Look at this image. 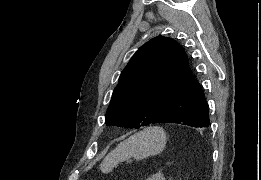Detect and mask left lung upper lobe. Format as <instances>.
<instances>
[{
    "mask_svg": "<svg viewBox=\"0 0 261 180\" xmlns=\"http://www.w3.org/2000/svg\"><path fill=\"white\" fill-rule=\"evenodd\" d=\"M191 74L187 55L176 41L162 36L151 39L122 71L106 122L136 129L151 124Z\"/></svg>",
    "mask_w": 261,
    "mask_h": 180,
    "instance_id": "1",
    "label": "left lung upper lobe"
}]
</instances>
